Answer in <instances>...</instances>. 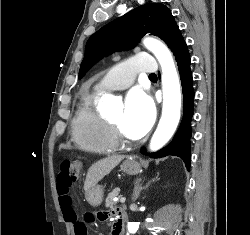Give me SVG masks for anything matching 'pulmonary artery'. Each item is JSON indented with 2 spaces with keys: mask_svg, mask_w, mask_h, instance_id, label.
Wrapping results in <instances>:
<instances>
[{
  "mask_svg": "<svg viewBox=\"0 0 250 235\" xmlns=\"http://www.w3.org/2000/svg\"><path fill=\"white\" fill-rule=\"evenodd\" d=\"M157 70L156 59L153 55L149 52H141L108 72L101 78L96 87L104 91L125 89L132 84L135 71L154 74Z\"/></svg>",
  "mask_w": 250,
  "mask_h": 235,
  "instance_id": "1",
  "label": "pulmonary artery"
}]
</instances>
